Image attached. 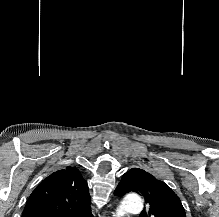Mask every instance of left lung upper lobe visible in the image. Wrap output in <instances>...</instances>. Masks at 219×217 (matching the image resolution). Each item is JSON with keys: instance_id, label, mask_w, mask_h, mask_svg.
I'll list each match as a JSON object with an SVG mask.
<instances>
[{"instance_id": "obj_1", "label": "left lung upper lobe", "mask_w": 219, "mask_h": 217, "mask_svg": "<svg viewBox=\"0 0 219 217\" xmlns=\"http://www.w3.org/2000/svg\"><path fill=\"white\" fill-rule=\"evenodd\" d=\"M132 191L142 195L145 200L146 206L140 217H186L174 191L142 169L133 168L126 172L114 194L122 196Z\"/></svg>"}]
</instances>
